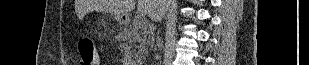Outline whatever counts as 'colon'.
Returning <instances> with one entry per match:
<instances>
[{"label": "colon", "instance_id": "1", "mask_svg": "<svg viewBox=\"0 0 309 65\" xmlns=\"http://www.w3.org/2000/svg\"><path fill=\"white\" fill-rule=\"evenodd\" d=\"M78 50L80 53V65H97L98 54L95 50L93 40L84 36L78 42Z\"/></svg>", "mask_w": 309, "mask_h": 65}]
</instances>
